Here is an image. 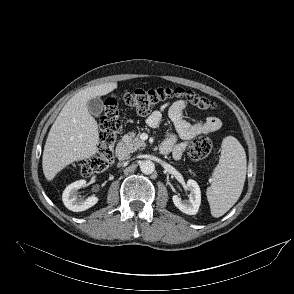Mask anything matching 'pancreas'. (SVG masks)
Wrapping results in <instances>:
<instances>
[{"instance_id":"pancreas-1","label":"pancreas","mask_w":294,"mask_h":294,"mask_svg":"<svg viewBox=\"0 0 294 294\" xmlns=\"http://www.w3.org/2000/svg\"><path fill=\"white\" fill-rule=\"evenodd\" d=\"M125 147L129 153L135 152L137 150H142L146 147L143 140L140 139L139 135L135 136V133H129L125 136Z\"/></svg>"}]
</instances>
